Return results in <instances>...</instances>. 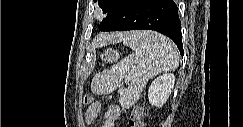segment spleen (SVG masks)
Here are the masks:
<instances>
[{
  "instance_id": "spleen-1",
  "label": "spleen",
  "mask_w": 243,
  "mask_h": 127,
  "mask_svg": "<svg viewBox=\"0 0 243 127\" xmlns=\"http://www.w3.org/2000/svg\"><path fill=\"white\" fill-rule=\"evenodd\" d=\"M123 43L134 53L110 69L96 74L91 89L93 93L103 95L119 88L120 104L129 107L138 100L149 79L161 72L176 69L179 57L173 42L156 32H134L124 38ZM123 79L130 82L127 88L123 87Z\"/></svg>"
}]
</instances>
